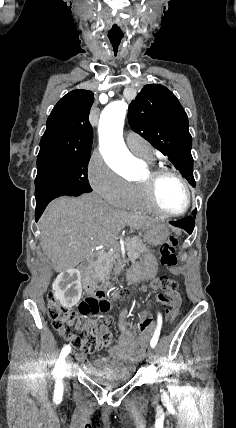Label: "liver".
Here are the masks:
<instances>
[{"instance_id": "6515ba94", "label": "liver", "mask_w": 236, "mask_h": 428, "mask_svg": "<svg viewBox=\"0 0 236 428\" xmlns=\"http://www.w3.org/2000/svg\"><path fill=\"white\" fill-rule=\"evenodd\" d=\"M156 220L115 210L96 194L56 198L39 220L40 246L56 272L76 268L96 246L116 244L120 230H144Z\"/></svg>"}]
</instances>
